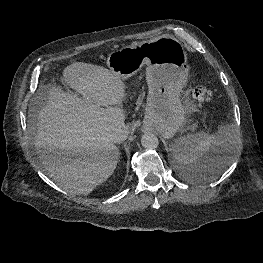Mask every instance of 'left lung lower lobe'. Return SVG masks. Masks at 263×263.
Masks as SVG:
<instances>
[{"mask_svg": "<svg viewBox=\"0 0 263 263\" xmlns=\"http://www.w3.org/2000/svg\"><path fill=\"white\" fill-rule=\"evenodd\" d=\"M220 152V150H219ZM221 153V152H220ZM220 155L218 151L214 154L205 158L198 166L193 168L192 166L188 169H184L186 174L198 177V178H207L214 175L221 167L220 164Z\"/></svg>", "mask_w": 263, "mask_h": 263, "instance_id": "left-lung-lower-lobe-1", "label": "left lung lower lobe"}]
</instances>
